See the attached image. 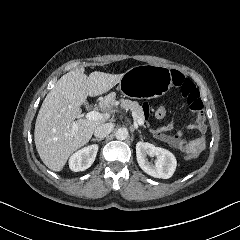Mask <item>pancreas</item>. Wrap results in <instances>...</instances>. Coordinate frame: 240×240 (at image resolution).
<instances>
[{"label": "pancreas", "mask_w": 240, "mask_h": 240, "mask_svg": "<svg viewBox=\"0 0 240 240\" xmlns=\"http://www.w3.org/2000/svg\"><path fill=\"white\" fill-rule=\"evenodd\" d=\"M107 98L111 99V102L113 103V97L111 95L107 96ZM119 108L120 109H129L136 113L137 116L142 117L143 111L140 105H138L137 102L131 101L129 99H121L119 102Z\"/></svg>", "instance_id": "cf45deb5"}]
</instances>
